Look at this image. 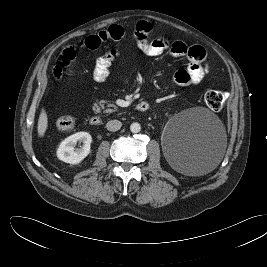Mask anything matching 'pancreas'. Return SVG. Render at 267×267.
<instances>
[{
	"instance_id": "cf45deb5",
	"label": "pancreas",
	"mask_w": 267,
	"mask_h": 267,
	"mask_svg": "<svg viewBox=\"0 0 267 267\" xmlns=\"http://www.w3.org/2000/svg\"><path fill=\"white\" fill-rule=\"evenodd\" d=\"M104 104H107V107L109 108H114L115 110L117 109V107L105 100H101L99 102V105L98 104H94V107H93V110L96 111V112H99L100 111V108L104 109L105 106ZM113 110L112 109H106L105 112L108 113V112H112Z\"/></svg>"
}]
</instances>
